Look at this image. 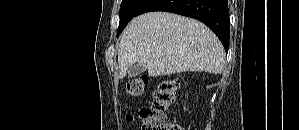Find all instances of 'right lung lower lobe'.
<instances>
[{
  "label": "right lung lower lobe",
  "mask_w": 299,
  "mask_h": 130,
  "mask_svg": "<svg viewBox=\"0 0 299 130\" xmlns=\"http://www.w3.org/2000/svg\"><path fill=\"white\" fill-rule=\"evenodd\" d=\"M165 11L192 17L206 24L229 49L230 23L227 0H147L136 15Z\"/></svg>",
  "instance_id": "right-lung-lower-lobe-1"
}]
</instances>
